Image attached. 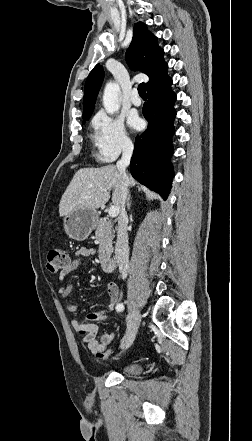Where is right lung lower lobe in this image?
I'll return each instance as SVG.
<instances>
[{"instance_id": "1", "label": "right lung lower lobe", "mask_w": 252, "mask_h": 441, "mask_svg": "<svg viewBox=\"0 0 252 441\" xmlns=\"http://www.w3.org/2000/svg\"><path fill=\"white\" fill-rule=\"evenodd\" d=\"M167 68L147 88L148 102L143 106V115L148 121V127L136 137L130 163L133 177L159 192L164 199L169 194L174 176L170 156L173 153L171 138L176 116L173 108L176 95L171 90L172 79L167 75Z\"/></svg>"}]
</instances>
